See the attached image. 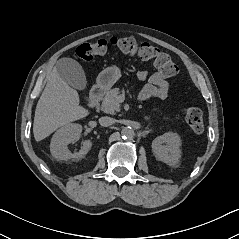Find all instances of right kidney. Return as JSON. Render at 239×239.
<instances>
[{
	"label": "right kidney",
	"instance_id": "1",
	"mask_svg": "<svg viewBox=\"0 0 239 239\" xmlns=\"http://www.w3.org/2000/svg\"><path fill=\"white\" fill-rule=\"evenodd\" d=\"M81 132L82 126L77 123L66 124L59 130H57L53 135L50 144V151L52 156L57 160L83 158L92 147V142L90 140H85L80 151L77 153H72L67 149V145L78 138Z\"/></svg>",
	"mask_w": 239,
	"mask_h": 239
}]
</instances>
